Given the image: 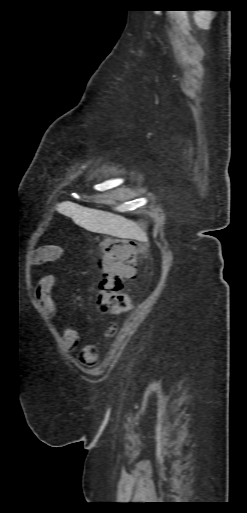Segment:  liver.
Here are the masks:
<instances>
[{"mask_svg": "<svg viewBox=\"0 0 247 513\" xmlns=\"http://www.w3.org/2000/svg\"><path fill=\"white\" fill-rule=\"evenodd\" d=\"M57 211L90 232L137 240L147 238L138 224L117 214L85 208L70 201L58 204Z\"/></svg>", "mask_w": 247, "mask_h": 513, "instance_id": "liver-1", "label": "liver"}]
</instances>
